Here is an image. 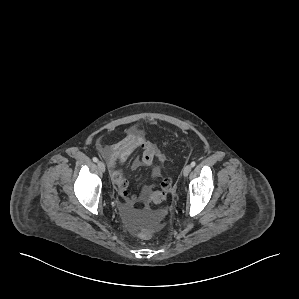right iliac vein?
I'll list each match as a JSON object with an SVG mask.
<instances>
[{
    "label": "right iliac vein",
    "instance_id": "63e3f726",
    "mask_svg": "<svg viewBox=\"0 0 299 299\" xmlns=\"http://www.w3.org/2000/svg\"><path fill=\"white\" fill-rule=\"evenodd\" d=\"M97 166L101 172H105V164L103 162L99 161Z\"/></svg>",
    "mask_w": 299,
    "mask_h": 299
}]
</instances>
